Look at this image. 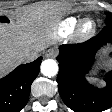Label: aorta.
<instances>
[{
	"instance_id": "aorta-1",
	"label": "aorta",
	"mask_w": 112,
	"mask_h": 112,
	"mask_svg": "<svg viewBox=\"0 0 112 112\" xmlns=\"http://www.w3.org/2000/svg\"><path fill=\"white\" fill-rule=\"evenodd\" d=\"M41 73L46 77H53L58 73L59 67L55 60L46 59L40 67Z\"/></svg>"
}]
</instances>
